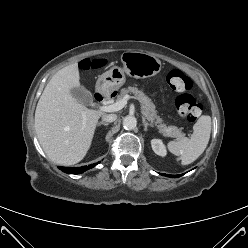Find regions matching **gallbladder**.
<instances>
[{
    "instance_id": "1",
    "label": "gallbladder",
    "mask_w": 248,
    "mask_h": 248,
    "mask_svg": "<svg viewBox=\"0 0 248 248\" xmlns=\"http://www.w3.org/2000/svg\"><path fill=\"white\" fill-rule=\"evenodd\" d=\"M72 95L80 102L86 105H92L93 98L91 93L84 87H78L71 90Z\"/></svg>"
}]
</instances>
